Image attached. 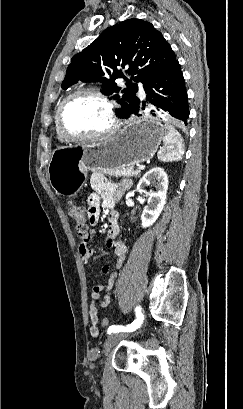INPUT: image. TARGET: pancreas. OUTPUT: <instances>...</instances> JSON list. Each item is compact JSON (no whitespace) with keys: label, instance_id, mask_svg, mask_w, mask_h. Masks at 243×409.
Here are the masks:
<instances>
[{"label":"pancreas","instance_id":"1","mask_svg":"<svg viewBox=\"0 0 243 409\" xmlns=\"http://www.w3.org/2000/svg\"><path fill=\"white\" fill-rule=\"evenodd\" d=\"M140 172V170H136L133 167H125L118 170L106 171L105 173L115 177H134L138 176Z\"/></svg>","mask_w":243,"mask_h":409}]
</instances>
